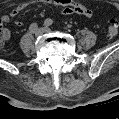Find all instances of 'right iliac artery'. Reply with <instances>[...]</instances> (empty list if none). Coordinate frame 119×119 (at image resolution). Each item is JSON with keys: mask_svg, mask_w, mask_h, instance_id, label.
Returning a JSON list of instances; mask_svg holds the SVG:
<instances>
[{"mask_svg": "<svg viewBox=\"0 0 119 119\" xmlns=\"http://www.w3.org/2000/svg\"><path fill=\"white\" fill-rule=\"evenodd\" d=\"M37 29H38L37 23H32V24L29 26V30H30V32H32V33H34Z\"/></svg>", "mask_w": 119, "mask_h": 119, "instance_id": "1", "label": "right iliac artery"}]
</instances>
